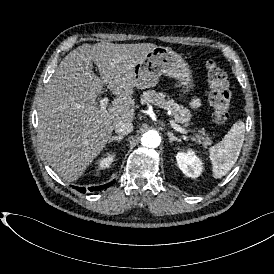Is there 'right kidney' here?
<instances>
[{
    "label": "right kidney",
    "mask_w": 274,
    "mask_h": 274,
    "mask_svg": "<svg viewBox=\"0 0 274 274\" xmlns=\"http://www.w3.org/2000/svg\"><path fill=\"white\" fill-rule=\"evenodd\" d=\"M100 161L99 169L107 168L113 161V154H107L105 157L101 158Z\"/></svg>",
    "instance_id": "obj_1"
}]
</instances>
